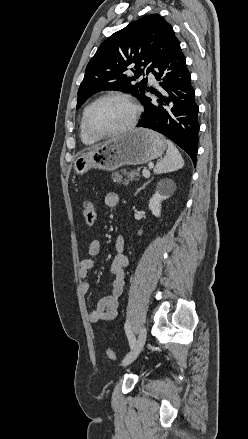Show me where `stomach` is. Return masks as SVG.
<instances>
[{"label": "stomach", "mask_w": 248, "mask_h": 439, "mask_svg": "<svg viewBox=\"0 0 248 439\" xmlns=\"http://www.w3.org/2000/svg\"><path fill=\"white\" fill-rule=\"evenodd\" d=\"M165 138L148 129L137 128L95 145L74 161V171L83 175L90 169L114 171L122 165H141L163 155Z\"/></svg>", "instance_id": "obj_1"}]
</instances>
